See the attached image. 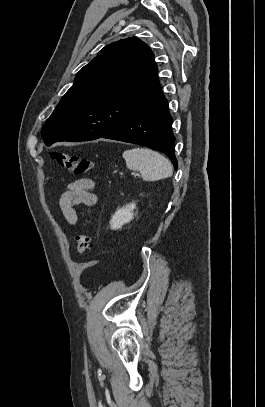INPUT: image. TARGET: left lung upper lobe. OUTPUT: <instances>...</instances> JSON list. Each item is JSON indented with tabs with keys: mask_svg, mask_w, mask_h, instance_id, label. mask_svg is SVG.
<instances>
[{
	"mask_svg": "<svg viewBox=\"0 0 265 407\" xmlns=\"http://www.w3.org/2000/svg\"><path fill=\"white\" fill-rule=\"evenodd\" d=\"M150 48L136 37L105 46L77 74L41 134L58 141L103 137L162 97Z\"/></svg>",
	"mask_w": 265,
	"mask_h": 407,
	"instance_id": "5c2ea615",
	"label": "left lung upper lobe"
}]
</instances>
